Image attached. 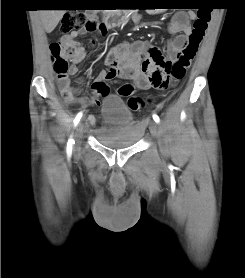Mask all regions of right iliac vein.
I'll return each mask as SVG.
<instances>
[{
    "label": "right iliac vein",
    "mask_w": 245,
    "mask_h": 278,
    "mask_svg": "<svg viewBox=\"0 0 245 278\" xmlns=\"http://www.w3.org/2000/svg\"><path fill=\"white\" fill-rule=\"evenodd\" d=\"M83 132H84V126L80 122L77 125L76 131H75V144L73 147L74 152H78L81 148V139H82Z\"/></svg>",
    "instance_id": "1"
}]
</instances>
